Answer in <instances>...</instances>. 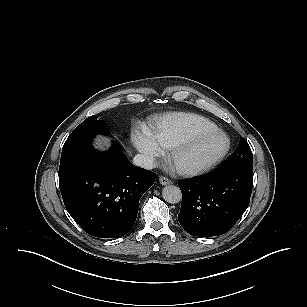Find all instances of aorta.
I'll return each instance as SVG.
<instances>
[{"label": "aorta", "mask_w": 307, "mask_h": 307, "mask_svg": "<svg viewBox=\"0 0 307 307\" xmlns=\"http://www.w3.org/2000/svg\"><path fill=\"white\" fill-rule=\"evenodd\" d=\"M164 200L171 204L179 203L182 199V193L179 187L174 185L165 186L162 190Z\"/></svg>", "instance_id": "762f6f07"}]
</instances>
